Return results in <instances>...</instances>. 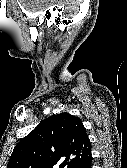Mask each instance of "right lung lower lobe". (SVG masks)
Instances as JSON below:
<instances>
[{"instance_id":"1","label":"right lung lower lobe","mask_w":127,"mask_h":168,"mask_svg":"<svg viewBox=\"0 0 127 168\" xmlns=\"http://www.w3.org/2000/svg\"><path fill=\"white\" fill-rule=\"evenodd\" d=\"M91 160L92 158L90 156L87 160L77 165L75 168H91Z\"/></svg>"}]
</instances>
